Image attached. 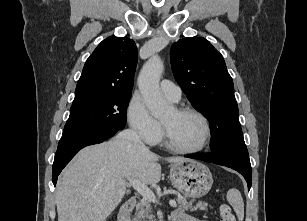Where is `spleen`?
Listing matches in <instances>:
<instances>
[{
	"mask_svg": "<svg viewBox=\"0 0 307 221\" xmlns=\"http://www.w3.org/2000/svg\"><path fill=\"white\" fill-rule=\"evenodd\" d=\"M227 201L233 207L239 221L244 218V202L241 193L236 189L227 192Z\"/></svg>",
	"mask_w": 307,
	"mask_h": 221,
	"instance_id": "3e777b00",
	"label": "spleen"
}]
</instances>
